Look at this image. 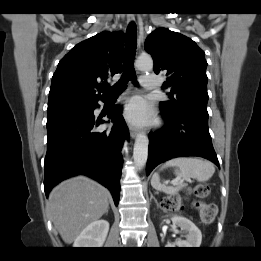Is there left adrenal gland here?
<instances>
[{
  "label": "left adrenal gland",
  "mask_w": 261,
  "mask_h": 261,
  "mask_svg": "<svg viewBox=\"0 0 261 261\" xmlns=\"http://www.w3.org/2000/svg\"><path fill=\"white\" fill-rule=\"evenodd\" d=\"M150 199H154L155 203L157 204V206L159 207V203L157 202V199L153 196V194L150 192Z\"/></svg>",
  "instance_id": "obj_1"
}]
</instances>
